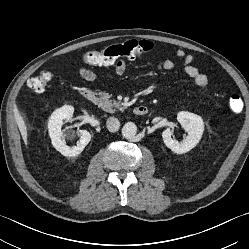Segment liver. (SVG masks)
<instances>
[{"label": "liver", "instance_id": "obj_1", "mask_svg": "<svg viewBox=\"0 0 249 249\" xmlns=\"http://www.w3.org/2000/svg\"><path fill=\"white\" fill-rule=\"evenodd\" d=\"M15 118H16L19 130H20V133L22 135V138H23L25 144H27V142H28L27 141V136H28L27 126L25 124L24 118L21 116V114L19 113L18 110H16V112H15Z\"/></svg>", "mask_w": 249, "mask_h": 249}]
</instances>
